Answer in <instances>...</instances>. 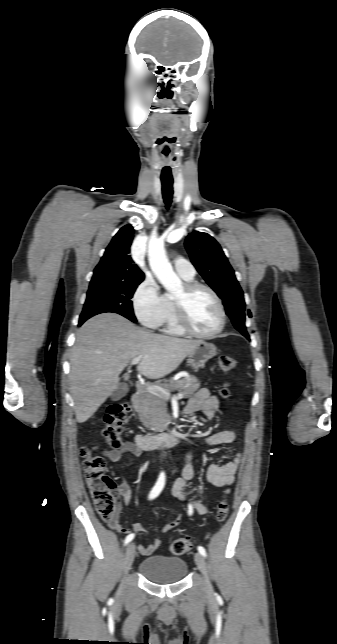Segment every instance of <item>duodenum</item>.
<instances>
[{"label":"duodenum","instance_id":"obj_1","mask_svg":"<svg viewBox=\"0 0 337 644\" xmlns=\"http://www.w3.org/2000/svg\"><path fill=\"white\" fill-rule=\"evenodd\" d=\"M140 399V394L138 392L132 394L131 401L135 408L139 406ZM180 442L181 436L177 431H168L157 435L139 434L135 438L136 445L142 450H147L155 447L175 446Z\"/></svg>","mask_w":337,"mask_h":644}]
</instances>
